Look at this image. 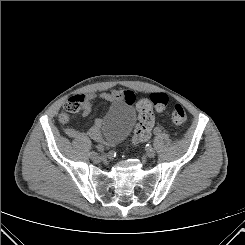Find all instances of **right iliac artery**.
Instances as JSON below:
<instances>
[{
    "instance_id": "82829eb1",
    "label": "right iliac artery",
    "mask_w": 245,
    "mask_h": 245,
    "mask_svg": "<svg viewBox=\"0 0 245 245\" xmlns=\"http://www.w3.org/2000/svg\"><path fill=\"white\" fill-rule=\"evenodd\" d=\"M97 148H98L99 152H101V153L103 152L104 153L105 149H104V147L102 145H98Z\"/></svg>"
}]
</instances>
